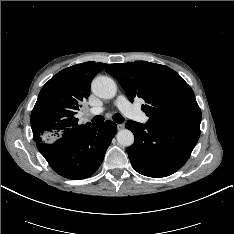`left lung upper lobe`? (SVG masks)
Here are the masks:
<instances>
[{
    "label": "left lung upper lobe",
    "instance_id": "5c2ea615",
    "mask_svg": "<svg viewBox=\"0 0 234 234\" xmlns=\"http://www.w3.org/2000/svg\"><path fill=\"white\" fill-rule=\"evenodd\" d=\"M106 72L118 80L130 101L144 99L148 123L200 125L201 111L192 89L169 67L136 61L110 64Z\"/></svg>",
    "mask_w": 234,
    "mask_h": 234
}]
</instances>
